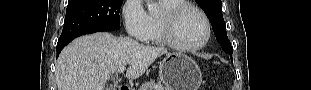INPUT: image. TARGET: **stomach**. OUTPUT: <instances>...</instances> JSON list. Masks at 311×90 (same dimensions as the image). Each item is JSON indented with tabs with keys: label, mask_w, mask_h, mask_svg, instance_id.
<instances>
[{
	"label": "stomach",
	"mask_w": 311,
	"mask_h": 90,
	"mask_svg": "<svg viewBox=\"0 0 311 90\" xmlns=\"http://www.w3.org/2000/svg\"><path fill=\"white\" fill-rule=\"evenodd\" d=\"M159 77L167 90H198L202 82L196 62L181 53L168 54L160 62Z\"/></svg>",
	"instance_id": "obj_1"
}]
</instances>
